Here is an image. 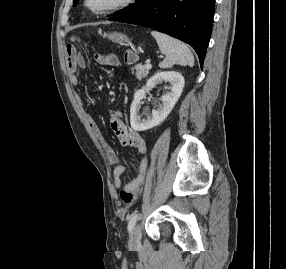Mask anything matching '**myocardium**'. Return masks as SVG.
Wrapping results in <instances>:
<instances>
[{
    "label": "myocardium",
    "mask_w": 286,
    "mask_h": 269,
    "mask_svg": "<svg viewBox=\"0 0 286 269\" xmlns=\"http://www.w3.org/2000/svg\"><path fill=\"white\" fill-rule=\"evenodd\" d=\"M135 2H136V0H120V1L116 2L115 4L108 6L106 8L93 9L90 6V0H84V6H85L86 10L94 16H107V15L122 11V10L130 7Z\"/></svg>",
    "instance_id": "f54148a6"
}]
</instances>
